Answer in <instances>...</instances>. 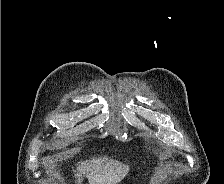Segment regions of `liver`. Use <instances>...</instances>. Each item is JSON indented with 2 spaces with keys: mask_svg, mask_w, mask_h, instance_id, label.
I'll return each instance as SVG.
<instances>
[{
  "mask_svg": "<svg viewBox=\"0 0 224 184\" xmlns=\"http://www.w3.org/2000/svg\"><path fill=\"white\" fill-rule=\"evenodd\" d=\"M129 172V165L107 157L79 162L74 176L75 183L81 184L82 175H85L89 184H117Z\"/></svg>",
  "mask_w": 224,
  "mask_h": 184,
  "instance_id": "1",
  "label": "liver"
}]
</instances>
